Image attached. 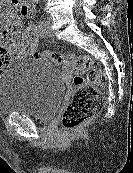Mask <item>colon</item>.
I'll list each match as a JSON object with an SVG mask.
<instances>
[{
	"instance_id": "obj_1",
	"label": "colon",
	"mask_w": 133,
	"mask_h": 173,
	"mask_svg": "<svg viewBox=\"0 0 133 173\" xmlns=\"http://www.w3.org/2000/svg\"><path fill=\"white\" fill-rule=\"evenodd\" d=\"M34 57L40 60L64 63L73 71V82L76 90L62 114V125L66 130H73L93 118L102 108L103 97L100 87L106 77L102 70L92 65L88 56L62 55L55 51L35 52ZM8 63V56L0 49V72Z\"/></svg>"
}]
</instances>
